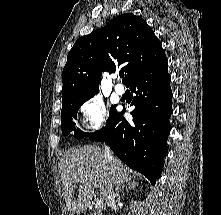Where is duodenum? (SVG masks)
I'll list each match as a JSON object with an SVG mask.
<instances>
[{
    "mask_svg": "<svg viewBox=\"0 0 221 215\" xmlns=\"http://www.w3.org/2000/svg\"><path fill=\"white\" fill-rule=\"evenodd\" d=\"M78 215H89V214L86 211H82Z\"/></svg>",
    "mask_w": 221,
    "mask_h": 215,
    "instance_id": "obj_1",
    "label": "duodenum"
}]
</instances>
